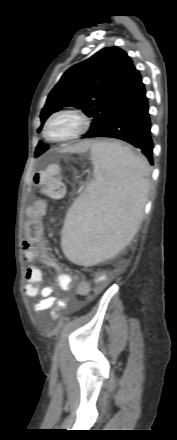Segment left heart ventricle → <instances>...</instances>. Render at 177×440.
<instances>
[{
    "instance_id": "b2bd125f",
    "label": "left heart ventricle",
    "mask_w": 177,
    "mask_h": 440,
    "mask_svg": "<svg viewBox=\"0 0 177 440\" xmlns=\"http://www.w3.org/2000/svg\"><path fill=\"white\" fill-rule=\"evenodd\" d=\"M77 126L75 119L71 117L61 116L56 118L49 127V135L51 137H61L71 132Z\"/></svg>"
}]
</instances>
